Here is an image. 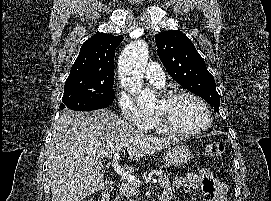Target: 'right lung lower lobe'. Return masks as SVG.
Returning a JSON list of instances; mask_svg holds the SVG:
<instances>
[{
    "mask_svg": "<svg viewBox=\"0 0 271 201\" xmlns=\"http://www.w3.org/2000/svg\"><path fill=\"white\" fill-rule=\"evenodd\" d=\"M80 104V103H78ZM64 108H69L75 111H91V110H96V109H101V108H105V107H97V108H91V109H79V107H75V106H66L65 104L61 103L60 105V109H64Z\"/></svg>",
    "mask_w": 271,
    "mask_h": 201,
    "instance_id": "right-lung-lower-lobe-1",
    "label": "right lung lower lobe"
}]
</instances>
